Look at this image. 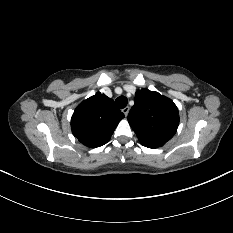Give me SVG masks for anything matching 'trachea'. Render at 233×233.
Returning <instances> with one entry per match:
<instances>
[{"label": "trachea", "mask_w": 233, "mask_h": 233, "mask_svg": "<svg viewBox=\"0 0 233 233\" xmlns=\"http://www.w3.org/2000/svg\"><path fill=\"white\" fill-rule=\"evenodd\" d=\"M127 103H128V100H127V98L124 97V96H120V97H118V98L116 99V104H117V106H118L119 108H121V109L125 108L126 105H127Z\"/></svg>", "instance_id": "trachea-1"}]
</instances>
